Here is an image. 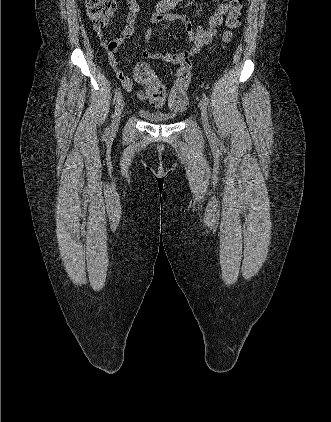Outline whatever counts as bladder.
Returning a JSON list of instances; mask_svg holds the SVG:
<instances>
[{
  "label": "bladder",
  "instance_id": "31cf9c89",
  "mask_svg": "<svg viewBox=\"0 0 331 422\" xmlns=\"http://www.w3.org/2000/svg\"><path fill=\"white\" fill-rule=\"evenodd\" d=\"M139 113L147 120L155 123L173 122L177 119L175 114L150 111L147 109H140Z\"/></svg>",
  "mask_w": 331,
  "mask_h": 422
}]
</instances>
